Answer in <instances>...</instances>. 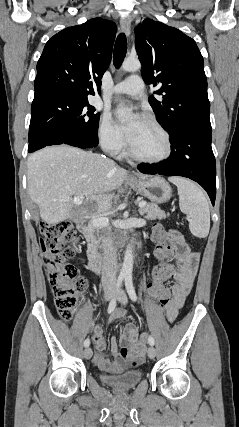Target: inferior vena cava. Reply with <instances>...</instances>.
<instances>
[{
	"instance_id": "602c4592",
	"label": "inferior vena cava",
	"mask_w": 239,
	"mask_h": 427,
	"mask_svg": "<svg viewBox=\"0 0 239 427\" xmlns=\"http://www.w3.org/2000/svg\"><path fill=\"white\" fill-rule=\"evenodd\" d=\"M103 267L102 286L104 290H114L116 286L117 274V250L114 247L111 235L102 236Z\"/></svg>"
}]
</instances>
